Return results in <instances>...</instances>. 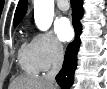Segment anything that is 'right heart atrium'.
Returning <instances> with one entry per match:
<instances>
[{"label": "right heart atrium", "mask_w": 107, "mask_h": 89, "mask_svg": "<svg viewBox=\"0 0 107 89\" xmlns=\"http://www.w3.org/2000/svg\"><path fill=\"white\" fill-rule=\"evenodd\" d=\"M31 44L40 70H48L63 57L62 45L50 32L35 34Z\"/></svg>", "instance_id": "d8ad5b80"}]
</instances>
